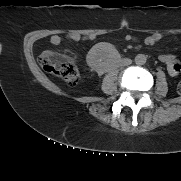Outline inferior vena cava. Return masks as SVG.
<instances>
[{
  "label": "inferior vena cava",
  "mask_w": 181,
  "mask_h": 181,
  "mask_svg": "<svg viewBox=\"0 0 181 181\" xmlns=\"http://www.w3.org/2000/svg\"><path fill=\"white\" fill-rule=\"evenodd\" d=\"M131 63H132V60L129 59V58H124V59H122V61H121V64H122L123 66L130 65Z\"/></svg>",
  "instance_id": "inferior-vena-cava-1"
}]
</instances>
